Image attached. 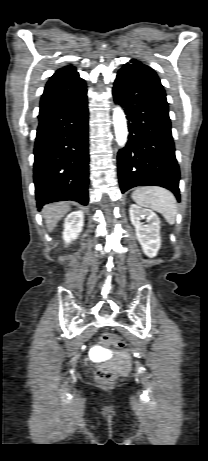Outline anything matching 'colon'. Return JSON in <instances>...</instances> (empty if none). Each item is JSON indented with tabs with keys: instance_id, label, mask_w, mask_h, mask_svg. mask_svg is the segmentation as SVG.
Listing matches in <instances>:
<instances>
[{
	"instance_id": "1",
	"label": "colon",
	"mask_w": 208,
	"mask_h": 461,
	"mask_svg": "<svg viewBox=\"0 0 208 461\" xmlns=\"http://www.w3.org/2000/svg\"><path fill=\"white\" fill-rule=\"evenodd\" d=\"M100 343L103 345H114L118 348H124L126 343L121 338L112 333H104L100 337ZM128 354V353H127ZM117 377L116 370L113 367H102L95 373V379L100 385H109Z\"/></svg>"
}]
</instances>
